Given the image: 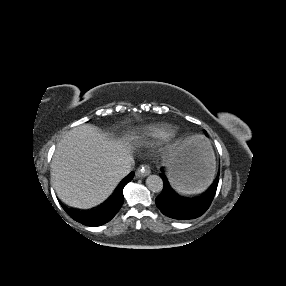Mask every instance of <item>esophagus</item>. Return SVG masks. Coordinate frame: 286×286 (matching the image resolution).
Segmentation results:
<instances>
[{"mask_svg": "<svg viewBox=\"0 0 286 286\" xmlns=\"http://www.w3.org/2000/svg\"><path fill=\"white\" fill-rule=\"evenodd\" d=\"M151 173L150 166L145 164L139 167L136 171V176L137 177H145Z\"/></svg>", "mask_w": 286, "mask_h": 286, "instance_id": "obj_1", "label": "esophagus"}]
</instances>
